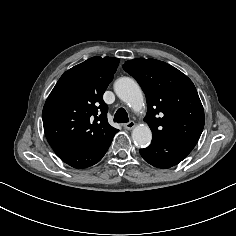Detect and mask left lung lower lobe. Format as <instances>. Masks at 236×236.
Masks as SVG:
<instances>
[{
    "label": "left lung lower lobe",
    "mask_w": 236,
    "mask_h": 236,
    "mask_svg": "<svg viewBox=\"0 0 236 236\" xmlns=\"http://www.w3.org/2000/svg\"><path fill=\"white\" fill-rule=\"evenodd\" d=\"M196 143L186 139L152 140L149 147L140 149V154L154 167L166 169L185 159Z\"/></svg>",
    "instance_id": "0a47b994"
}]
</instances>
